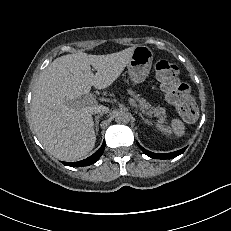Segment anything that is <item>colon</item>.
I'll return each mask as SVG.
<instances>
[{"label": "colon", "instance_id": "obj_1", "mask_svg": "<svg viewBox=\"0 0 231 231\" xmlns=\"http://www.w3.org/2000/svg\"><path fill=\"white\" fill-rule=\"evenodd\" d=\"M155 72L167 100L173 104L180 116L186 121H193L198 116V106L190 88L179 79L176 64L160 60L155 65Z\"/></svg>", "mask_w": 231, "mask_h": 231}]
</instances>
